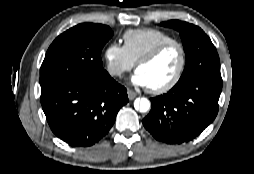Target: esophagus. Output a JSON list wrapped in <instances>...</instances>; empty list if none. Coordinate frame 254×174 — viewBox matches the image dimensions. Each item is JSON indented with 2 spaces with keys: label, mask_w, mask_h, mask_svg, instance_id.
Wrapping results in <instances>:
<instances>
[{
  "label": "esophagus",
  "mask_w": 254,
  "mask_h": 174,
  "mask_svg": "<svg viewBox=\"0 0 254 174\" xmlns=\"http://www.w3.org/2000/svg\"><path fill=\"white\" fill-rule=\"evenodd\" d=\"M127 93H128V98H129V100H133V99H135L136 96H137L136 92H134L133 90H128Z\"/></svg>",
  "instance_id": "34e87169"
}]
</instances>
